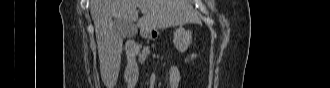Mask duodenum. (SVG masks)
Returning <instances> with one entry per match:
<instances>
[{"label":"duodenum","instance_id":"duodenum-1","mask_svg":"<svg viewBox=\"0 0 330 88\" xmlns=\"http://www.w3.org/2000/svg\"><path fill=\"white\" fill-rule=\"evenodd\" d=\"M125 50L130 58L129 60V64H133L134 63V55L137 51V45L134 42H128L125 46ZM134 75V70H132L130 67L127 68L126 71V78L128 80L131 79V77Z\"/></svg>","mask_w":330,"mask_h":88}]
</instances>
